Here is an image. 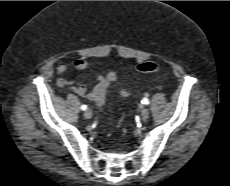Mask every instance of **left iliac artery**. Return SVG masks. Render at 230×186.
Masks as SVG:
<instances>
[{
	"instance_id": "1",
	"label": "left iliac artery",
	"mask_w": 230,
	"mask_h": 186,
	"mask_svg": "<svg viewBox=\"0 0 230 186\" xmlns=\"http://www.w3.org/2000/svg\"><path fill=\"white\" fill-rule=\"evenodd\" d=\"M142 103L148 105L149 104V100L147 98H143Z\"/></svg>"
}]
</instances>
